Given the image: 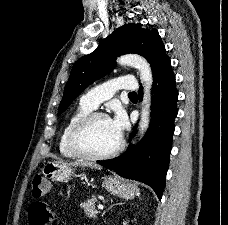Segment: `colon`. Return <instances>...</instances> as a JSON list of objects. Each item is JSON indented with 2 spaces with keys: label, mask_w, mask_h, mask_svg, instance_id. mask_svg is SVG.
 <instances>
[{
  "label": "colon",
  "mask_w": 228,
  "mask_h": 225,
  "mask_svg": "<svg viewBox=\"0 0 228 225\" xmlns=\"http://www.w3.org/2000/svg\"><path fill=\"white\" fill-rule=\"evenodd\" d=\"M52 182H49L44 176L36 175L32 181L31 192L36 200L42 199L47 196V192L51 190Z\"/></svg>",
  "instance_id": "colon-1"
}]
</instances>
